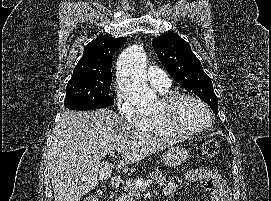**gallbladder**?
<instances>
[{
  "label": "gallbladder",
  "instance_id": "bac80fb5",
  "mask_svg": "<svg viewBox=\"0 0 271 201\" xmlns=\"http://www.w3.org/2000/svg\"><path fill=\"white\" fill-rule=\"evenodd\" d=\"M101 178L107 179L110 177V168L108 166H102L101 167Z\"/></svg>",
  "mask_w": 271,
  "mask_h": 201
}]
</instances>
